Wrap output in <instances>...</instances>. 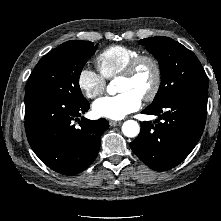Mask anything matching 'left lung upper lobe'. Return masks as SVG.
<instances>
[{
  "mask_svg": "<svg viewBox=\"0 0 221 221\" xmlns=\"http://www.w3.org/2000/svg\"><path fill=\"white\" fill-rule=\"evenodd\" d=\"M140 44L154 55L161 70V85L150 107L191 89L208 90L206 73L192 51L168 37H151Z\"/></svg>",
  "mask_w": 221,
  "mask_h": 221,
  "instance_id": "left-lung-upper-lobe-1",
  "label": "left lung upper lobe"
}]
</instances>
